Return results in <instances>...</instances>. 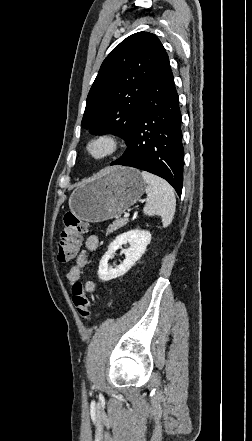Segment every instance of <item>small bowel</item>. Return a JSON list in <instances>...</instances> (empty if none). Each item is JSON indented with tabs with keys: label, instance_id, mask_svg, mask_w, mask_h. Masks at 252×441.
Returning a JSON list of instances; mask_svg holds the SVG:
<instances>
[{
	"label": "small bowel",
	"instance_id": "small-bowel-1",
	"mask_svg": "<svg viewBox=\"0 0 252 441\" xmlns=\"http://www.w3.org/2000/svg\"><path fill=\"white\" fill-rule=\"evenodd\" d=\"M99 244V239L96 235H90L85 241L84 248L79 252L75 259V263L69 270L67 274V279L70 283H74L79 280L80 275L85 268V266L90 261V256L94 250L97 249ZM86 292H95V284L92 281L85 282Z\"/></svg>",
	"mask_w": 252,
	"mask_h": 441
}]
</instances>
